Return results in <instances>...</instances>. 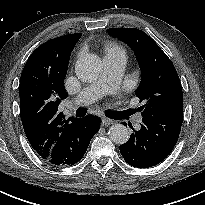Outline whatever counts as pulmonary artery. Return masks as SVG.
Wrapping results in <instances>:
<instances>
[{
    "instance_id": "obj_1",
    "label": "pulmonary artery",
    "mask_w": 205,
    "mask_h": 205,
    "mask_svg": "<svg viewBox=\"0 0 205 205\" xmlns=\"http://www.w3.org/2000/svg\"><path fill=\"white\" fill-rule=\"evenodd\" d=\"M103 64L102 75L80 91L74 100L75 104L88 105L103 95L115 93L118 90L126 65V57L124 55H104ZM141 122L142 118H137L135 126L140 128Z\"/></svg>"
}]
</instances>
